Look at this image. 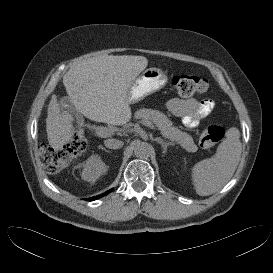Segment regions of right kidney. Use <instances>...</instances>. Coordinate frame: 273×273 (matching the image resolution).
<instances>
[{
  "label": "right kidney",
  "instance_id": "obj_1",
  "mask_svg": "<svg viewBox=\"0 0 273 273\" xmlns=\"http://www.w3.org/2000/svg\"><path fill=\"white\" fill-rule=\"evenodd\" d=\"M106 172V165L98 155H93L87 159L82 171V179L91 182L96 181Z\"/></svg>",
  "mask_w": 273,
  "mask_h": 273
}]
</instances>
